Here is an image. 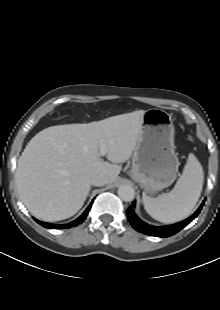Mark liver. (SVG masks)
I'll return each mask as SVG.
<instances>
[{"instance_id": "1", "label": "liver", "mask_w": 220, "mask_h": 310, "mask_svg": "<svg viewBox=\"0 0 220 310\" xmlns=\"http://www.w3.org/2000/svg\"><path fill=\"white\" fill-rule=\"evenodd\" d=\"M144 110L86 124L48 127L27 144L15 174L20 198L30 213L44 221H59L76 214L102 174L114 182L122 164L134 151ZM107 147L100 158V146Z\"/></svg>"}]
</instances>
